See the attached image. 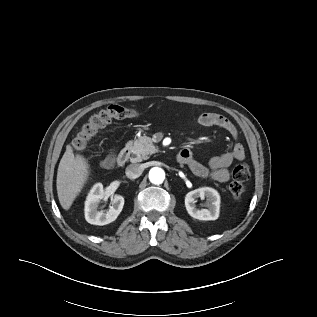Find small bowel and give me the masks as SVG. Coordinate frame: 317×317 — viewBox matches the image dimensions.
<instances>
[{
  "label": "small bowel",
  "instance_id": "obj_1",
  "mask_svg": "<svg viewBox=\"0 0 317 317\" xmlns=\"http://www.w3.org/2000/svg\"><path fill=\"white\" fill-rule=\"evenodd\" d=\"M198 122L205 127L216 126L222 128L235 139L238 137V130L234 123L221 114L204 112L199 115ZM183 151L185 154L187 153V156L181 162L182 164L187 165L196 176L210 178L217 182H227L230 179L229 168L232 163L245 159V149L240 143H236L230 151L210 158L207 165L197 161L189 149H183ZM112 157L113 154H110L102 164L106 166L107 160Z\"/></svg>",
  "mask_w": 317,
  "mask_h": 317
}]
</instances>
